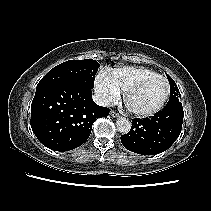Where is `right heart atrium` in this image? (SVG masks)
Masks as SVG:
<instances>
[{
	"instance_id": "obj_1",
	"label": "right heart atrium",
	"mask_w": 211,
	"mask_h": 211,
	"mask_svg": "<svg viewBox=\"0 0 211 211\" xmlns=\"http://www.w3.org/2000/svg\"><path fill=\"white\" fill-rule=\"evenodd\" d=\"M94 89L99 101L105 105L117 102L121 96L120 89L107 70H103L97 75L94 82Z\"/></svg>"
}]
</instances>
